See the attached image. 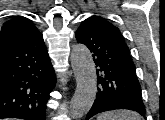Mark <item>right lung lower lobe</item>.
Here are the masks:
<instances>
[{"label":"right lung lower lobe","instance_id":"obj_1","mask_svg":"<svg viewBox=\"0 0 165 120\" xmlns=\"http://www.w3.org/2000/svg\"><path fill=\"white\" fill-rule=\"evenodd\" d=\"M56 76L42 34L0 49V119L45 120Z\"/></svg>","mask_w":165,"mask_h":120}]
</instances>
